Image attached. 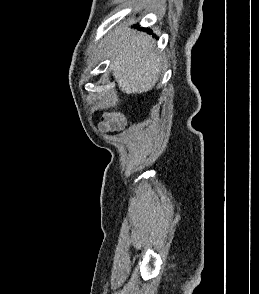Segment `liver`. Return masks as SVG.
Masks as SVG:
<instances>
[{"instance_id":"liver-1","label":"liver","mask_w":259,"mask_h":294,"mask_svg":"<svg viewBox=\"0 0 259 294\" xmlns=\"http://www.w3.org/2000/svg\"><path fill=\"white\" fill-rule=\"evenodd\" d=\"M104 51L111 59L110 70L122 92L141 94L155 86L162 58L149 35L116 27L108 34Z\"/></svg>"}]
</instances>
